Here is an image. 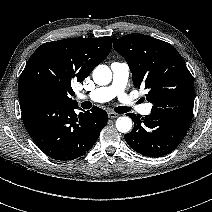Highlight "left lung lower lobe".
<instances>
[{"mask_svg":"<svg viewBox=\"0 0 212 212\" xmlns=\"http://www.w3.org/2000/svg\"><path fill=\"white\" fill-rule=\"evenodd\" d=\"M134 128L125 135L128 145L148 157H162L171 153L183 140L190 126L193 108L179 106L154 108L146 117L128 114Z\"/></svg>","mask_w":212,"mask_h":212,"instance_id":"1","label":"left lung lower lobe"}]
</instances>
